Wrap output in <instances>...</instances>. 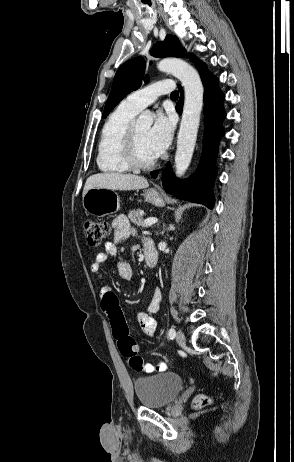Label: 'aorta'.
<instances>
[{"label": "aorta", "mask_w": 294, "mask_h": 462, "mask_svg": "<svg viewBox=\"0 0 294 462\" xmlns=\"http://www.w3.org/2000/svg\"><path fill=\"white\" fill-rule=\"evenodd\" d=\"M157 67L160 71L171 73L177 77L185 91L182 120L175 154V174L182 177L188 169L193 156L203 106L204 89L197 71L180 59H163L158 63ZM137 123L138 125H150V121H146L142 116L139 117Z\"/></svg>", "instance_id": "aorta-1"}]
</instances>
